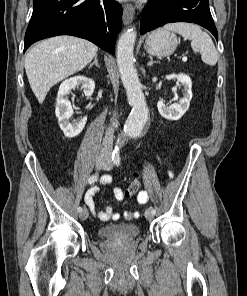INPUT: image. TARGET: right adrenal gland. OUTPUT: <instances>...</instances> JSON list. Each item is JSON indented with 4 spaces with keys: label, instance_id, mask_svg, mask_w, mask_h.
<instances>
[{
    "label": "right adrenal gland",
    "instance_id": "obj_1",
    "mask_svg": "<svg viewBox=\"0 0 247 296\" xmlns=\"http://www.w3.org/2000/svg\"><path fill=\"white\" fill-rule=\"evenodd\" d=\"M97 57H98V55H95V57H94V62L91 63V64L89 65V69H90L93 65H96L98 68H100V65H99V63H98Z\"/></svg>",
    "mask_w": 247,
    "mask_h": 296
}]
</instances>
